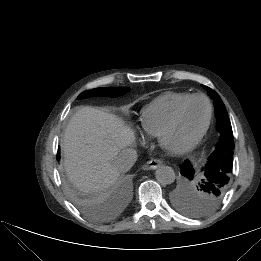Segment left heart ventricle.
Here are the masks:
<instances>
[{
    "mask_svg": "<svg viewBox=\"0 0 261 261\" xmlns=\"http://www.w3.org/2000/svg\"><path fill=\"white\" fill-rule=\"evenodd\" d=\"M206 117V102L200 98L190 101L182 110L175 127L167 135L165 144L179 147L190 142L202 129Z\"/></svg>",
    "mask_w": 261,
    "mask_h": 261,
    "instance_id": "b2bd125f",
    "label": "left heart ventricle"
}]
</instances>
